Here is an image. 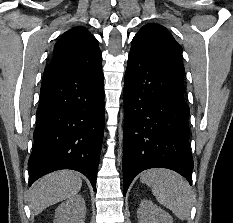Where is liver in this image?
Wrapping results in <instances>:
<instances>
[{"label":"liver","mask_w":233,"mask_h":223,"mask_svg":"<svg viewBox=\"0 0 233 223\" xmlns=\"http://www.w3.org/2000/svg\"><path fill=\"white\" fill-rule=\"evenodd\" d=\"M81 187L82 179L78 171L61 169V171L47 173L38 179L30 189L28 197L30 209H33L35 215H38L49 205L76 195Z\"/></svg>","instance_id":"liver-1"}]
</instances>
